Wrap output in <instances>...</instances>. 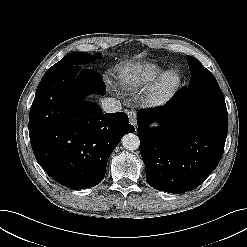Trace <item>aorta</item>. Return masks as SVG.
Wrapping results in <instances>:
<instances>
[{"label":"aorta","mask_w":247,"mask_h":247,"mask_svg":"<svg viewBox=\"0 0 247 247\" xmlns=\"http://www.w3.org/2000/svg\"><path fill=\"white\" fill-rule=\"evenodd\" d=\"M122 145L126 150L134 151L139 148V137L134 133H128L121 139Z\"/></svg>","instance_id":"aorta-1"}]
</instances>
